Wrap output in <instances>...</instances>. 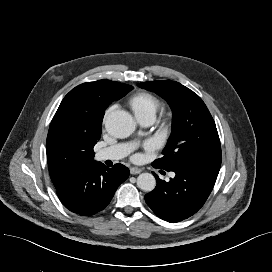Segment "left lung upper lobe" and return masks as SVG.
I'll list each match as a JSON object with an SVG mask.
<instances>
[{
    "label": "left lung upper lobe",
    "mask_w": 272,
    "mask_h": 272,
    "mask_svg": "<svg viewBox=\"0 0 272 272\" xmlns=\"http://www.w3.org/2000/svg\"><path fill=\"white\" fill-rule=\"evenodd\" d=\"M138 86L163 97L173 111L171 136L163 156L153 164L166 170L194 165L220 168L218 132L202 99L176 81H149Z\"/></svg>",
    "instance_id": "left-lung-upper-lobe-1"
}]
</instances>
